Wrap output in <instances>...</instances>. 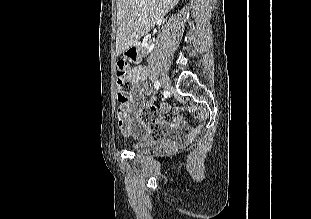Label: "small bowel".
I'll use <instances>...</instances> for the list:
<instances>
[{
	"mask_svg": "<svg viewBox=\"0 0 311 219\" xmlns=\"http://www.w3.org/2000/svg\"><path fill=\"white\" fill-rule=\"evenodd\" d=\"M146 69L137 67L134 70L135 89L131 94L129 103L119 105L116 111L118 127L120 132L126 136H133L138 140L152 139L153 135L162 136L165 131L162 129L160 114L170 109L168 103H162L159 109L155 108L147 96L153 98L152 91L145 83ZM150 110L146 113V110ZM173 123L183 128V120L175 116ZM183 136L172 131L167 132L172 142H185L191 135L192 130L186 131Z\"/></svg>",
	"mask_w": 311,
	"mask_h": 219,
	"instance_id": "1",
	"label": "small bowel"
}]
</instances>
